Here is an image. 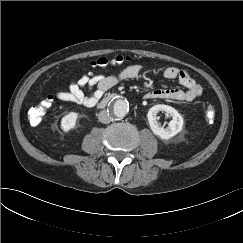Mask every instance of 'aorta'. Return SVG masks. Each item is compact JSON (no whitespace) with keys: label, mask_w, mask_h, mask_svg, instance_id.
Wrapping results in <instances>:
<instances>
[{"label":"aorta","mask_w":243,"mask_h":243,"mask_svg":"<svg viewBox=\"0 0 243 243\" xmlns=\"http://www.w3.org/2000/svg\"><path fill=\"white\" fill-rule=\"evenodd\" d=\"M113 115L117 118H123L129 112V103L127 100L118 99L112 106Z\"/></svg>","instance_id":"762f6f07"}]
</instances>
